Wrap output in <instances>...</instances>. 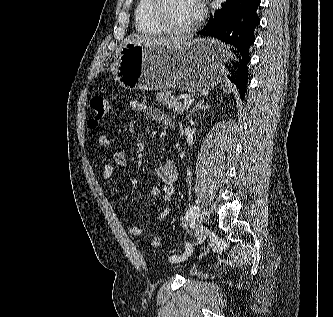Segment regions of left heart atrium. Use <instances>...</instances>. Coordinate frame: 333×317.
Segmentation results:
<instances>
[{"mask_svg": "<svg viewBox=\"0 0 333 317\" xmlns=\"http://www.w3.org/2000/svg\"><path fill=\"white\" fill-rule=\"evenodd\" d=\"M198 1V0H197ZM198 11H200V6H199V4H198Z\"/></svg>", "mask_w": 333, "mask_h": 317, "instance_id": "39dd6f15", "label": "left heart atrium"}]
</instances>
